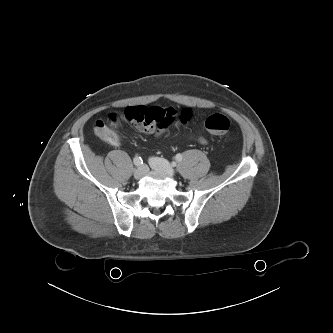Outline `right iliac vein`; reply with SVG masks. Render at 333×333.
<instances>
[{
  "label": "right iliac vein",
  "mask_w": 333,
  "mask_h": 333,
  "mask_svg": "<svg viewBox=\"0 0 333 333\" xmlns=\"http://www.w3.org/2000/svg\"><path fill=\"white\" fill-rule=\"evenodd\" d=\"M146 173V167L145 166H140L134 171V178L135 179H140L142 178Z\"/></svg>",
  "instance_id": "1"
}]
</instances>
